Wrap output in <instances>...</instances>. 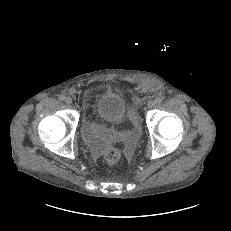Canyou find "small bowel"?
Masks as SVG:
<instances>
[{
	"mask_svg": "<svg viewBox=\"0 0 231 231\" xmlns=\"http://www.w3.org/2000/svg\"><path fill=\"white\" fill-rule=\"evenodd\" d=\"M84 137L87 143L95 150L99 151L100 146L97 140L98 127L89 119H85L83 127Z\"/></svg>",
	"mask_w": 231,
	"mask_h": 231,
	"instance_id": "small-bowel-1",
	"label": "small bowel"
}]
</instances>
